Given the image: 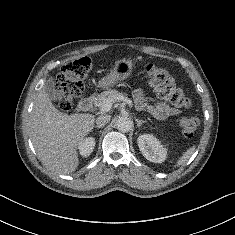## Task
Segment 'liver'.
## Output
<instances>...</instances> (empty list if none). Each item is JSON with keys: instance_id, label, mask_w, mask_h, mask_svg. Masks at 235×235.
Listing matches in <instances>:
<instances>
[{"instance_id": "6515ba94", "label": "liver", "mask_w": 235, "mask_h": 235, "mask_svg": "<svg viewBox=\"0 0 235 235\" xmlns=\"http://www.w3.org/2000/svg\"><path fill=\"white\" fill-rule=\"evenodd\" d=\"M45 89L46 85L39 91L31 112V139L46 166L69 174L79 165L77 148L93 129L95 117L58 111Z\"/></svg>"}]
</instances>
